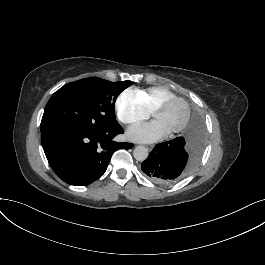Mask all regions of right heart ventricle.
<instances>
[{
	"instance_id": "right-heart-ventricle-1",
	"label": "right heart ventricle",
	"mask_w": 265,
	"mask_h": 265,
	"mask_svg": "<svg viewBox=\"0 0 265 265\" xmlns=\"http://www.w3.org/2000/svg\"><path fill=\"white\" fill-rule=\"evenodd\" d=\"M134 94L139 98L149 112L160 100L172 96L173 93L165 87L155 86L145 90H135Z\"/></svg>"
}]
</instances>
